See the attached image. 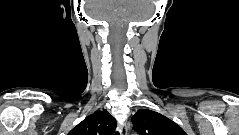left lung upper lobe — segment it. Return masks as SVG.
I'll return each mask as SVG.
<instances>
[{
    "instance_id": "5c2ea615",
    "label": "left lung upper lobe",
    "mask_w": 239,
    "mask_h": 135,
    "mask_svg": "<svg viewBox=\"0 0 239 135\" xmlns=\"http://www.w3.org/2000/svg\"><path fill=\"white\" fill-rule=\"evenodd\" d=\"M132 123L139 135H187L178 124L148 109L138 110L132 117Z\"/></svg>"
}]
</instances>
